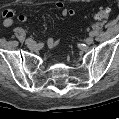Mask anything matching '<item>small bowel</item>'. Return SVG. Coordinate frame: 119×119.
Instances as JSON below:
<instances>
[{"label":"small bowel","mask_w":119,"mask_h":119,"mask_svg":"<svg viewBox=\"0 0 119 119\" xmlns=\"http://www.w3.org/2000/svg\"><path fill=\"white\" fill-rule=\"evenodd\" d=\"M55 7L61 11L62 15L63 16H73L74 15V11L71 10V9H67L65 8L64 6V3L61 2V1H57L55 3ZM15 16V12L13 9H6L3 11V18H4V21H3V25L5 27H10L13 23V17ZM18 20L21 21V22H25L27 20V17L25 15H19L18 16ZM60 43V40L59 39H54L52 37H50L48 39V45L51 49H54L56 48Z\"/></svg>","instance_id":"small-bowel-1"}]
</instances>
